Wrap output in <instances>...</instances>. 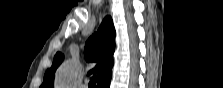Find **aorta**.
Listing matches in <instances>:
<instances>
[{"mask_svg": "<svg viewBox=\"0 0 223 88\" xmlns=\"http://www.w3.org/2000/svg\"><path fill=\"white\" fill-rule=\"evenodd\" d=\"M75 69L72 61H66L60 67L56 75V86L58 88H69L73 82Z\"/></svg>", "mask_w": 223, "mask_h": 88, "instance_id": "762f6f07", "label": "aorta"}]
</instances>
